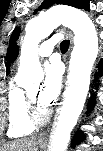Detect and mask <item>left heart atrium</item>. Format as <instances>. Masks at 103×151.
<instances>
[{"instance_id":"1","label":"left heart atrium","mask_w":103,"mask_h":151,"mask_svg":"<svg viewBox=\"0 0 103 151\" xmlns=\"http://www.w3.org/2000/svg\"><path fill=\"white\" fill-rule=\"evenodd\" d=\"M62 81V73L59 65L52 62L45 67V78L38 92L39 105L47 110L59 94Z\"/></svg>"}]
</instances>
